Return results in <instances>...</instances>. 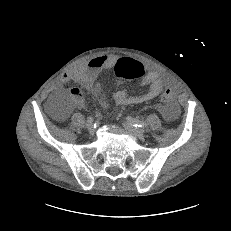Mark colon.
Here are the masks:
<instances>
[{
  "label": "colon",
  "instance_id": "obj_1",
  "mask_svg": "<svg viewBox=\"0 0 231 231\" xmlns=\"http://www.w3.org/2000/svg\"><path fill=\"white\" fill-rule=\"evenodd\" d=\"M114 74L119 79H135L140 78L145 74L144 66L129 58L119 59L114 66ZM96 91H100L99 86L95 87ZM172 98V88L166 87L162 95L164 102L170 101Z\"/></svg>",
  "mask_w": 231,
  "mask_h": 231
}]
</instances>
